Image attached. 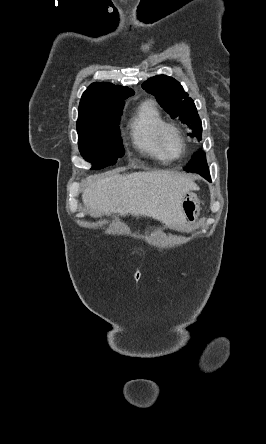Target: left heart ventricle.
<instances>
[{"mask_svg":"<svg viewBox=\"0 0 266 444\" xmlns=\"http://www.w3.org/2000/svg\"><path fill=\"white\" fill-rule=\"evenodd\" d=\"M163 144L171 156H178L181 150V142L175 131L167 129L163 134Z\"/></svg>","mask_w":266,"mask_h":444,"instance_id":"left-heart-ventricle-1","label":"left heart ventricle"}]
</instances>
